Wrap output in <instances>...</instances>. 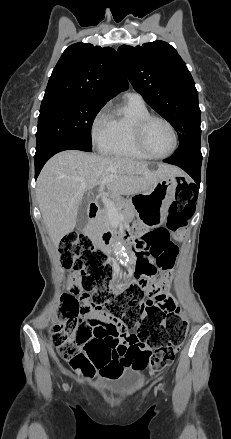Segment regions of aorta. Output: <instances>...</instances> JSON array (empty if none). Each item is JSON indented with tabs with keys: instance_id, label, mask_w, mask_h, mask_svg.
<instances>
[{
	"instance_id": "obj_1",
	"label": "aorta",
	"mask_w": 231,
	"mask_h": 439,
	"mask_svg": "<svg viewBox=\"0 0 231 439\" xmlns=\"http://www.w3.org/2000/svg\"><path fill=\"white\" fill-rule=\"evenodd\" d=\"M114 252H115V255L119 258V260L124 265H127V255H126V252H125L121 243L114 244Z\"/></svg>"
}]
</instances>
